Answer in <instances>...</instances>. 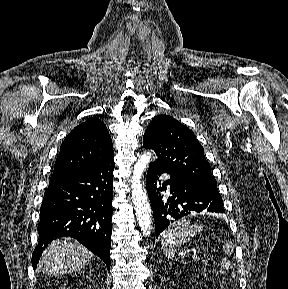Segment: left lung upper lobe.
Wrapping results in <instances>:
<instances>
[{"label":"left lung upper lobe","mask_w":288,"mask_h":289,"mask_svg":"<svg viewBox=\"0 0 288 289\" xmlns=\"http://www.w3.org/2000/svg\"><path fill=\"white\" fill-rule=\"evenodd\" d=\"M143 147L155 151V162L171 176L219 194L203 147L193 131L173 117L156 116L144 133Z\"/></svg>","instance_id":"obj_1"}]
</instances>
